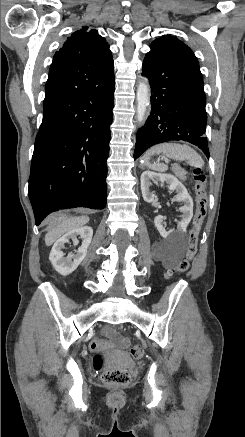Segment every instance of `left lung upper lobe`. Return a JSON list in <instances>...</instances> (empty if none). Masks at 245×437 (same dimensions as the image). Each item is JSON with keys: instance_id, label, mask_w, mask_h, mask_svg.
Here are the masks:
<instances>
[{"instance_id": "5c2ea615", "label": "left lung upper lobe", "mask_w": 245, "mask_h": 437, "mask_svg": "<svg viewBox=\"0 0 245 437\" xmlns=\"http://www.w3.org/2000/svg\"><path fill=\"white\" fill-rule=\"evenodd\" d=\"M150 47L153 48L162 47L199 66L198 60L194 55V53L192 52V50L187 45H185L182 41H180L177 37L171 35L163 36L161 38L154 40L151 43Z\"/></svg>"}]
</instances>
